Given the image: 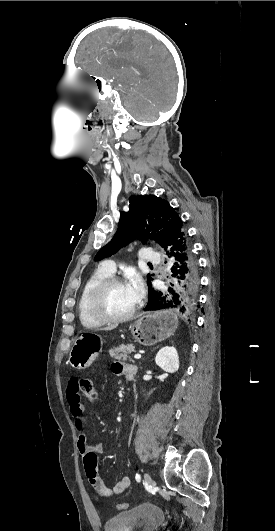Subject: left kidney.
Listing matches in <instances>:
<instances>
[{
    "label": "left kidney",
    "instance_id": "5707ae66",
    "mask_svg": "<svg viewBox=\"0 0 275 531\" xmlns=\"http://www.w3.org/2000/svg\"><path fill=\"white\" fill-rule=\"evenodd\" d=\"M155 363L166 373H176L179 369V357L175 347H162L155 357Z\"/></svg>",
    "mask_w": 275,
    "mask_h": 531
}]
</instances>
